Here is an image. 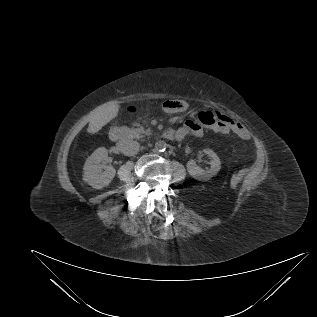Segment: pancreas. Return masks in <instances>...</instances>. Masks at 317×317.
<instances>
[{
    "mask_svg": "<svg viewBox=\"0 0 317 317\" xmlns=\"http://www.w3.org/2000/svg\"><path fill=\"white\" fill-rule=\"evenodd\" d=\"M134 126L136 128H131L129 130V133L132 134L135 137H141L143 134H149L150 133V129L144 130V128L142 126H140V124H138V123H134Z\"/></svg>",
    "mask_w": 317,
    "mask_h": 317,
    "instance_id": "pancreas-1",
    "label": "pancreas"
}]
</instances>
